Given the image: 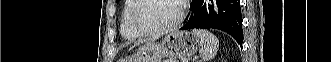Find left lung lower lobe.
<instances>
[{
    "label": "left lung lower lobe",
    "instance_id": "0a47b994",
    "mask_svg": "<svg viewBox=\"0 0 331 62\" xmlns=\"http://www.w3.org/2000/svg\"><path fill=\"white\" fill-rule=\"evenodd\" d=\"M181 28H213L229 33L242 47L240 0H192L191 15Z\"/></svg>",
    "mask_w": 331,
    "mask_h": 62
}]
</instances>
